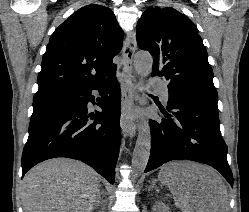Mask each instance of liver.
<instances>
[{
	"instance_id": "6515ba94",
	"label": "liver",
	"mask_w": 249,
	"mask_h": 212,
	"mask_svg": "<svg viewBox=\"0 0 249 212\" xmlns=\"http://www.w3.org/2000/svg\"><path fill=\"white\" fill-rule=\"evenodd\" d=\"M98 174L76 160L54 158L27 172L22 182L24 212H92ZM158 180L168 186L182 212H229L227 188L218 172L196 162H171Z\"/></svg>"
}]
</instances>
